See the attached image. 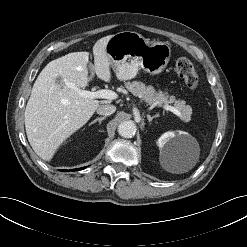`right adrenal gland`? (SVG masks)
Returning a JSON list of instances; mask_svg holds the SVG:
<instances>
[{"label": "right adrenal gland", "mask_w": 247, "mask_h": 247, "mask_svg": "<svg viewBox=\"0 0 247 247\" xmlns=\"http://www.w3.org/2000/svg\"><path fill=\"white\" fill-rule=\"evenodd\" d=\"M104 119H106V116H104V117H98V118H96L95 120H93L91 123H89V126L92 125V124H94V123H96V122H99V125H100L101 122H102Z\"/></svg>", "instance_id": "2a0ac1e0"}]
</instances>
